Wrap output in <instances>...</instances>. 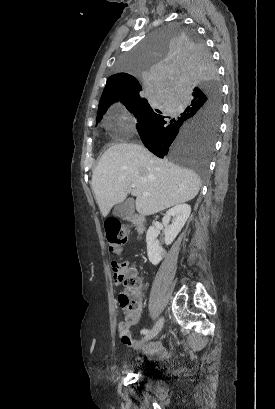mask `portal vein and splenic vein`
I'll return each mask as SVG.
<instances>
[{
  "mask_svg": "<svg viewBox=\"0 0 275 409\" xmlns=\"http://www.w3.org/2000/svg\"><path fill=\"white\" fill-rule=\"evenodd\" d=\"M131 186H135V184H131ZM143 194H149V192H143Z\"/></svg>",
  "mask_w": 275,
  "mask_h": 409,
  "instance_id": "obj_1",
  "label": "portal vein and splenic vein"
}]
</instances>
